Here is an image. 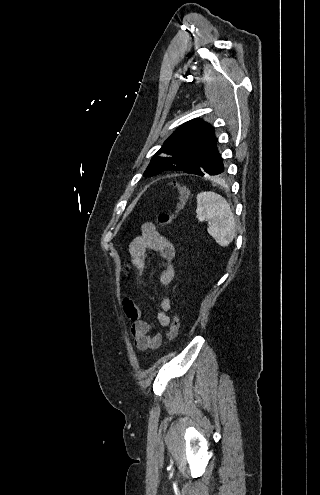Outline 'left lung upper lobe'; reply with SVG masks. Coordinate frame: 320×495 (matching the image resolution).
I'll use <instances>...</instances> for the list:
<instances>
[{
  "label": "left lung upper lobe",
  "mask_w": 320,
  "mask_h": 495,
  "mask_svg": "<svg viewBox=\"0 0 320 495\" xmlns=\"http://www.w3.org/2000/svg\"><path fill=\"white\" fill-rule=\"evenodd\" d=\"M217 146L213 127L202 119H192L164 142L152 157L144 176L150 177L167 171H186L196 165Z\"/></svg>",
  "instance_id": "1"
}]
</instances>
